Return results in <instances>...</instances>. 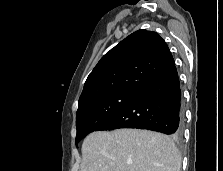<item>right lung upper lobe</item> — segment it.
<instances>
[{
	"mask_svg": "<svg viewBox=\"0 0 223 171\" xmlns=\"http://www.w3.org/2000/svg\"><path fill=\"white\" fill-rule=\"evenodd\" d=\"M175 65L158 33L138 30L106 53L89 74L79 107L115 92H140Z\"/></svg>",
	"mask_w": 223,
	"mask_h": 171,
	"instance_id": "1",
	"label": "right lung upper lobe"
}]
</instances>
